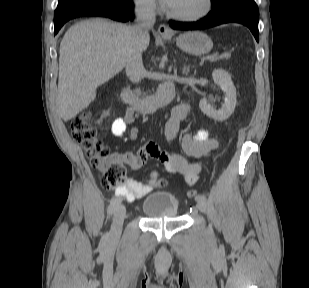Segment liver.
I'll return each instance as SVG.
<instances>
[{
	"instance_id": "liver-1",
	"label": "liver",
	"mask_w": 309,
	"mask_h": 288,
	"mask_svg": "<svg viewBox=\"0 0 309 288\" xmlns=\"http://www.w3.org/2000/svg\"><path fill=\"white\" fill-rule=\"evenodd\" d=\"M129 26L104 19L81 21L71 26L60 43L56 105L69 121L96 97L97 88L125 67L133 41ZM150 36L142 39V51Z\"/></svg>"
}]
</instances>
